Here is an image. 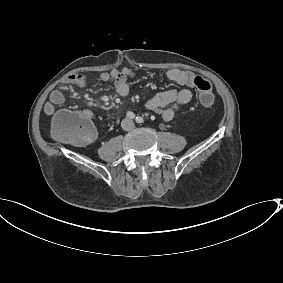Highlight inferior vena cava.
Wrapping results in <instances>:
<instances>
[{
	"mask_svg": "<svg viewBox=\"0 0 283 283\" xmlns=\"http://www.w3.org/2000/svg\"><path fill=\"white\" fill-rule=\"evenodd\" d=\"M121 127L123 130L129 131L134 128V122L129 118H125L121 122Z\"/></svg>",
	"mask_w": 283,
	"mask_h": 283,
	"instance_id": "1",
	"label": "inferior vena cava"
}]
</instances>
